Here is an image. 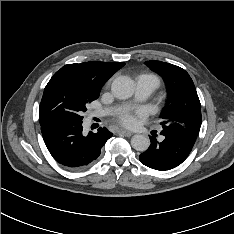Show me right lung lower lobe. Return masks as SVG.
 I'll return each instance as SVG.
<instances>
[{
	"mask_svg": "<svg viewBox=\"0 0 234 234\" xmlns=\"http://www.w3.org/2000/svg\"><path fill=\"white\" fill-rule=\"evenodd\" d=\"M41 125L44 142L52 157L61 165L81 169L94 162L101 148L113 135L106 128L83 135L82 121L56 119Z\"/></svg>",
	"mask_w": 234,
	"mask_h": 234,
	"instance_id": "obj_1",
	"label": "right lung lower lobe"
}]
</instances>
